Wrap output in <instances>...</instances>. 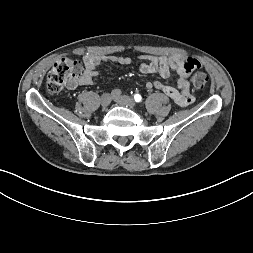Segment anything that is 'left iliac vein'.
Here are the masks:
<instances>
[{
	"mask_svg": "<svg viewBox=\"0 0 253 253\" xmlns=\"http://www.w3.org/2000/svg\"><path fill=\"white\" fill-rule=\"evenodd\" d=\"M114 101L119 103L122 106H126L128 108H135L136 107V103L134 102V100L132 98H130L129 96L126 95H121L118 97H114Z\"/></svg>",
	"mask_w": 253,
	"mask_h": 253,
	"instance_id": "4c4485c4",
	"label": "left iliac vein"
}]
</instances>
